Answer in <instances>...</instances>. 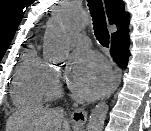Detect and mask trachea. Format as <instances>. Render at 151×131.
Segmentation results:
<instances>
[{"label": "trachea", "mask_w": 151, "mask_h": 131, "mask_svg": "<svg viewBox=\"0 0 151 131\" xmlns=\"http://www.w3.org/2000/svg\"><path fill=\"white\" fill-rule=\"evenodd\" d=\"M93 21V29L96 39L103 47L109 46V31L103 8L102 0H87Z\"/></svg>", "instance_id": "1"}]
</instances>
